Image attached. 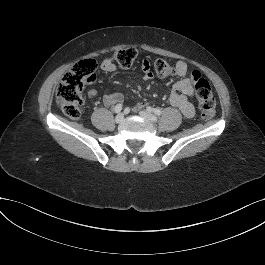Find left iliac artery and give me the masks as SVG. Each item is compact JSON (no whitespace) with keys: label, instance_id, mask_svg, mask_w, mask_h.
Listing matches in <instances>:
<instances>
[{"label":"left iliac artery","instance_id":"1","mask_svg":"<svg viewBox=\"0 0 265 265\" xmlns=\"http://www.w3.org/2000/svg\"><path fill=\"white\" fill-rule=\"evenodd\" d=\"M147 110L150 111V112H153L157 116H160L162 114V111L159 108L147 107Z\"/></svg>","mask_w":265,"mask_h":265}]
</instances>
